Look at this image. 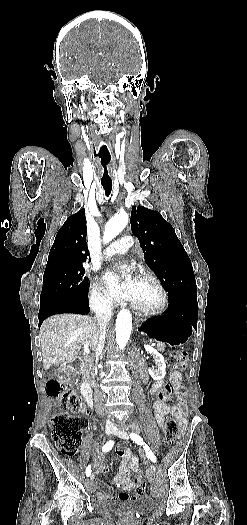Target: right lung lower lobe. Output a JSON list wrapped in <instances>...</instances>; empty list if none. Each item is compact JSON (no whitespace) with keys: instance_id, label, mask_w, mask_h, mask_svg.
Returning a JSON list of instances; mask_svg holds the SVG:
<instances>
[{"instance_id":"obj_1","label":"right lung lower lobe","mask_w":247,"mask_h":525,"mask_svg":"<svg viewBox=\"0 0 247 525\" xmlns=\"http://www.w3.org/2000/svg\"><path fill=\"white\" fill-rule=\"evenodd\" d=\"M90 311L88 298L85 300L54 301L40 308L39 327L48 316L56 313L87 314Z\"/></svg>"}]
</instances>
